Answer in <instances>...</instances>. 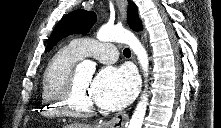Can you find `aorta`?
<instances>
[{"instance_id":"obj_1","label":"aorta","mask_w":221,"mask_h":128,"mask_svg":"<svg viewBox=\"0 0 221 128\" xmlns=\"http://www.w3.org/2000/svg\"><path fill=\"white\" fill-rule=\"evenodd\" d=\"M96 37L99 41L118 42L128 45L130 49L134 52V54L137 56V59L144 72V76L148 77V72H149L148 54L145 48L143 47V45L140 43V41L133 33L122 27L103 25L97 32ZM76 71L92 75L95 72V64L90 60H84L77 65ZM147 105H148V91H147V85H145V90L141 95L140 101L133 112L128 128L142 127L144 117L146 114Z\"/></svg>"}]
</instances>
